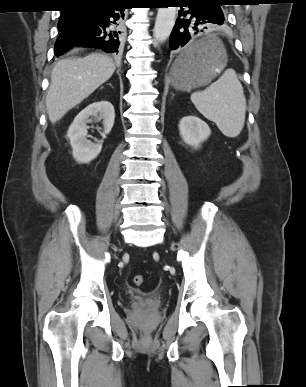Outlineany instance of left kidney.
<instances>
[{"instance_id":"1","label":"left kidney","mask_w":306,"mask_h":387,"mask_svg":"<svg viewBox=\"0 0 306 387\" xmlns=\"http://www.w3.org/2000/svg\"><path fill=\"white\" fill-rule=\"evenodd\" d=\"M179 131L183 141L194 148L200 147V144L211 134L207 123L193 115L185 116L180 120Z\"/></svg>"}]
</instances>
